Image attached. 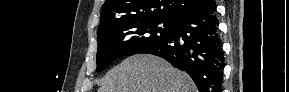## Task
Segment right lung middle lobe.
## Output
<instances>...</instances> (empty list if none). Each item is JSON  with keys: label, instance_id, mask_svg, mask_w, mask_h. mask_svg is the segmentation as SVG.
I'll use <instances>...</instances> for the list:
<instances>
[{"label": "right lung middle lobe", "instance_id": "1", "mask_svg": "<svg viewBox=\"0 0 289 92\" xmlns=\"http://www.w3.org/2000/svg\"><path fill=\"white\" fill-rule=\"evenodd\" d=\"M172 21L157 18L126 20L97 32V72L122 56L138 54L149 45L166 39L172 32Z\"/></svg>", "mask_w": 289, "mask_h": 92}]
</instances>
